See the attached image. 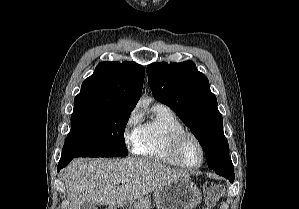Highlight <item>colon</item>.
Instances as JSON below:
<instances>
[{
  "instance_id": "obj_1",
  "label": "colon",
  "mask_w": 299,
  "mask_h": 209,
  "mask_svg": "<svg viewBox=\"0 0 299 209\" xmlns=\"http://www.w3.org/2000/svg\"><path fill=\"white\" fill-rule=\"evenodd\" d=\"M206 202L208 206L215 205L224 195L225 187L222 184L207 182L204 185Z\"/></svg>"
}]
</instances>
